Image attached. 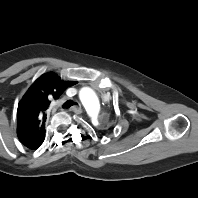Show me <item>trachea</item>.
<instances>
[{"label":"trachea","instance_id":"obj_1","mask_svg":"<svg viewBox=\"0 0 198 198\" xmlns=\"http://www.w3.org/2000/svg\"><path fill=\"white\" fill-rule=\"evenodd\" d=\"M73 105H78V103L73 102L72 100H68V101H66V102L64 103L63 108H69V107H71V106H73Z\"/></svg>","mask_w":198,"mask_h":198}]
</instances>
